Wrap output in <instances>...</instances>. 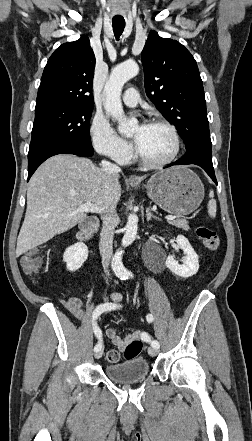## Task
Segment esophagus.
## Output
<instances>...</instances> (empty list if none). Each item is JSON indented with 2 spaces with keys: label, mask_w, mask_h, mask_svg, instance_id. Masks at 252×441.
I'll use <instances>...</instances> for the list:
<instances>
[{
  "label": "esophagus",
  "mask_w": 252,
  "mask_h": 441,
  "mask_svg": "<svg viewBox=\"0 0 252 441\" xmlns=\"http://www.w3.org/2000/svg\"><path fill=\"white\" fill-rule=\"evenodd\" d=\"M129 181H130V182H133V183H138V182H140L139 178L136 177V176H134V175H132V176L129 177Z\"/></svg>",
  "instance_id": "1"
}]
</instances>
